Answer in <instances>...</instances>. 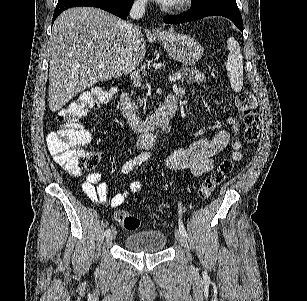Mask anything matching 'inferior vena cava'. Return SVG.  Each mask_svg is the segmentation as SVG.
<instances>
[{"label":"inferior vena cava","instance_id":"obj_1","mask_svg":"<svg viewBox=\"0 0 307 301\" xmlns=\"http://www.w3.org/2000/svg\"><path fill=\"white\" fill-rule=\"evenodd\" d=\"M147 2L148 0H134L129 12L131 18H142V16L145 14V6ZM125 28L131 40H134L135 36L139 34L140 26H138V24H128L127 22V24H125ZM126 60L127 66H131L130 60H132V54H128V56H126Z\"/></svg>","mask_w":307,"mask_h":301}]
</instances>
